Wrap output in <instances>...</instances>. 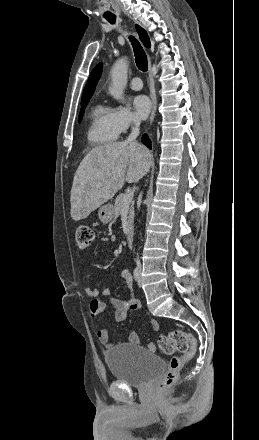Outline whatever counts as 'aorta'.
Masks as SVG:
<instances>
[{
	"label": "aorta",
	"instance_id": "762f6f07",
	"mask_svg": "<svg viewBox=\"0 0 259 440\" xmlns=\"http://www.w3.org/2000/svg\"><path fill=\"white\" fill-rule=\"evenodd\" d=\"M128 63L126 59H118L111 69L112 83L109 87L110 95L116 100H123V93L127 83Z\"/></svg>",
	"mask_w": 259,
	"mask_h": 440
}]
</instances>
